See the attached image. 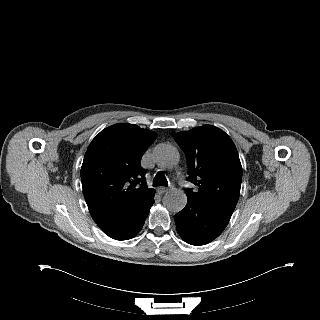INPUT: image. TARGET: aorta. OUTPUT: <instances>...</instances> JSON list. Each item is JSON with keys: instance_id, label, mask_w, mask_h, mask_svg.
<instances>
[{"instance_id": "762f6f07", "label": "aorta", "mask_w": 320, "mask_h": 320, "mask_svg": "<svg viewBox=\"0 0 320 320\" xmlns=\"http://www.w3.org/2000/svg\"><path fill=\"white\" fill-rule=\"evenodd\" d=\"M155 162L164 169L174 167L179 162L178 150L170 144H159L153 152ZM187 203V196L183 191L173 190L165 193L164 206L171 212L181 211Z\"/></svg>"}]
</instances>
